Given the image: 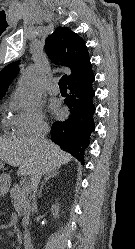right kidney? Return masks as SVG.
<instances>
[{
    "mask_svg": "<svg viewBox=\"0 0 135 249\" xmlns=\"http://www.w3.org/2000/svg\"><path fill=\"white\" fill-rule=\"evenodd\" d=\"M51 212L53 214V216L55 218H58V214H59V205H53L52 208H51Z\"/></svg>",
    "mask_w": 135,
    "mask_h": 249,
    "instance_id": "ca27d5eb",
    "label": "right kidney"
}]
</instances>
